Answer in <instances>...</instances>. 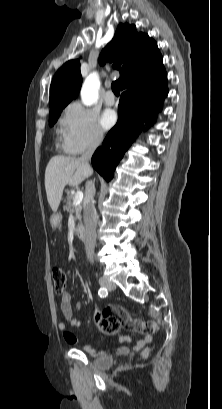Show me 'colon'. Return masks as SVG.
I'll return each instance as SVG.
<instances>
[{"label":"colon","instance_id":"1","mask_svg":"<svg viewBox=\"0 0 222 409\" xmlns=\"http://www.w3.org/2000/svg\"><path fill=\"white\" fill-rule=\"evenodd\" d=\"M51 277L55 292L63 294L66 291L67 278L61 265L56 264L52 267ZM112 313L113 310L111 308H104L95 313L97 329L107 335H114L119 330L118 322L112 318Z\"/></svg>","mask_w":222,"mask_h":409}]
</instances>
